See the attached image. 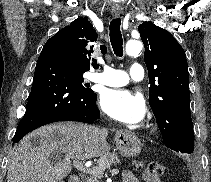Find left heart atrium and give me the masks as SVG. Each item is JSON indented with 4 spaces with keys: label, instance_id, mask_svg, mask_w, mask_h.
I'll return each instance as SVG.
<instances>
[{
    "label": "left heart atrium",
    "instance_id": "39dd6f15",
    "mask_svg": "<svg viewBox=\"0 0 211 182\" xmlns=\"http://www.w3.org/2000/svg\"><path fill=\"white\" fill-rule=\"evenodd\" d=\"M100 105L111 118L125 124L139 123L146 112L142 97L126 89H106L100 96Z\"/></svg>",
    "mask_w": 211,
    "mask_h": 182
}]
</instances>
